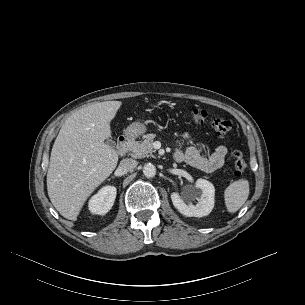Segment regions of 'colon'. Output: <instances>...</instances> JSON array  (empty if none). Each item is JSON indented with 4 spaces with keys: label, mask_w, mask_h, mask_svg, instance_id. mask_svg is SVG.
I'll return each instance as SVG.
<instances>
[{
    "label": "colon",
    "mask_w": 305,
    "mask_h": 305,
    "mask_svg": "<svg viewBox=\"0 0 305 305\" xmlns=\"http://www.w3.org/2000/svg\"><path fill=\"white\" fill-rule=\"evenodd\" d=\"M188 115L193 124L208 126L218 135H226L231 130L230 121L224 118L211 117L203 109H192L188 112ZM232 156L234 157V175L239 177L246 170V162L242 152L239 150H234Z\"/></svg>",
    "instance_id": "5ec220e1"
}]
</instances>
